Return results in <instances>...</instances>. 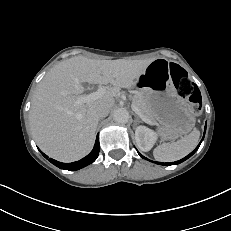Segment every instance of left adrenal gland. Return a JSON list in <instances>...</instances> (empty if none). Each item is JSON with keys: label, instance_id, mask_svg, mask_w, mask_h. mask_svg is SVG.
I'll use <instances>...</instances> for the list:
<instances>
[{"label": "left adrenal gland", "instance_id": "obj_1", "mask_svg": "<svg viewBox=\"0 0 231 231\" xmlns=\"http://www.w3.org/2000/svg\"><path fill=\"white\" fill-rule=\"evenodd\" d=\"M137 122H142L138 116H136V120H135V123Z\"/></svg>", "mask_w": 231, "mask_h": 231}]
</instances>
